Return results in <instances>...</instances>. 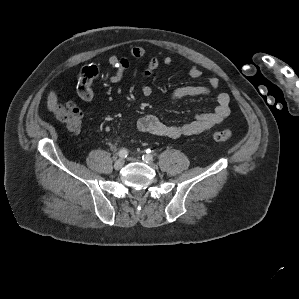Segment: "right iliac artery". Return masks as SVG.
<instances>
[{
  "instance_id": "right-iliac-artery-1",
  "label": "right iliac artery",
  "mask_w": 299,
  "mask_h": 299,
  "mask_svg": "<svg viewBox=\"0 0 299 299\" xmlns=\"http://www.w3.org/2000/svg\"><path fill=\"white\" fill-rule=\"evenodd\" d=\"M118 155L120 158L124 159L128 156V151L127 149L123 148L118 152Z\"/></svg>"
}]
</instances>
